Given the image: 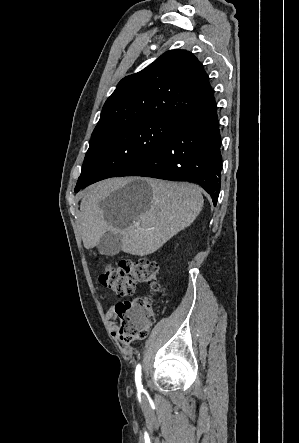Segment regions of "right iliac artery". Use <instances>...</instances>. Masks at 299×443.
<instances>
[{
	"instance_id": "82829eb1",
	"label": "right iliac artery",
	"mask_w": 299,
	"mask_h": 443,
	"mask_svg": "<svg viewBox=\"0 0 299 443\" xmlns=\"http://www.w3.org/2000/svg\"><path fill=\"white\" fill-rule=\"evenodd\" d=\"M135 382H136V386H137V390L138 392H142L143 390V385L141 382V365L138 364L136 366V370H135Z\"/></svg>"
}]
</instances>
